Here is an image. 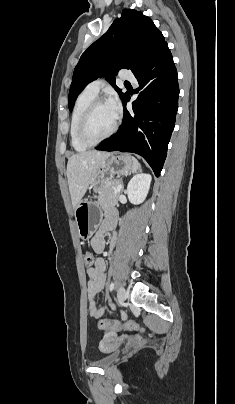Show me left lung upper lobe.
Segmentation results:
<instances>
[{
  "instance_id": "left-lung-upper-lobe-1",
  "label": "left lung upper lobe",
  "mask_w": 235,
  "mask_h": 404,
  "mask_svg": "<svg viewBox=\"0 0 235 404\" xmlns=\"http://www.w3.org/2000/svg\"><path fill=\"white\" fill-rule=\"evenodd\" d=\"M167 43L153 21L141 12L124 9L109 30L95 41L80 57L75 67L69 91V110L85 86L98 77H107L122 101V93L113 75L122 68L135 73Z\"/></svg>"
}]
</instances>
